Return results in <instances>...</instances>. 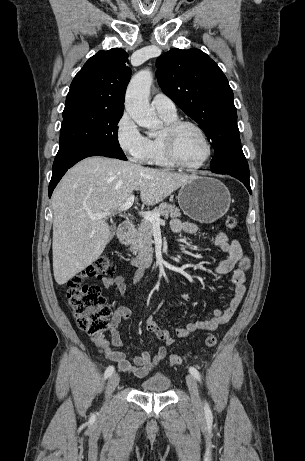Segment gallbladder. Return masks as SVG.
Returning a JSON list of instances; mask_svg holds the SVG:
<instances>
[{
	"instance_id": "obj_1",
	"label": "gallbladder",
	"mask_w": 305,
	"mask_h": 461,
	"mask_svg": "<svg viewBox=\"0 0 305 461\" xmlns=\"http://www.w3.org/2000/svg\"><path fill=\"white\" fill-rule=\"evenodd\" d=\"M114 235H115V230L112 229V230H111V234H110V239H112Z\"/></svg>"
}]
</instances>
